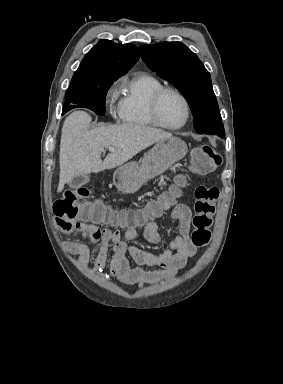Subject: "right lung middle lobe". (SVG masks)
<instances>
[{
  "label": "right lung middle lobe",
  "instance_id": "dd1d6c3e",
  "mask_svg": "<svg viewBox=\"0 0 283 384\" xmlns=\"http://www.w3.org/2000/svg\"><path fill=\"white\" fill-rule=\"evenodd\" d=\"M112 83L94 85L84 88L68 89L66 91L63 113L82 107L94 111L103 116L105 114V101L107 91Z\"/></svg>",
  "mask_w": 283,
  "mask_h": 384
}]
</instances>
